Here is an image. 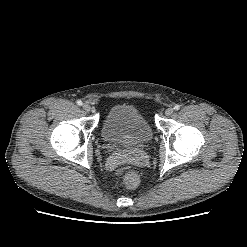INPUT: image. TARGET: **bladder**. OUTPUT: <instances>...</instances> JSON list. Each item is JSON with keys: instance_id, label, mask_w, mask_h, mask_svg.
<instances>
[{"instance_id": "1", "label": "bladder", "mask_w": 247, "mask_h": 247, "mask_svg": "<svg viewBox=\"0 0 247 247\" xmlns=\"http://www.w3.org/2000/svg\"><path fill=\"white\" fill-rule=\"evenodd\" d=\"M101 136L109 145L129 151L148 144L152 140L153 131L137 108L129 104H118L106 114Z\"/></svg>"}]
</instances>
